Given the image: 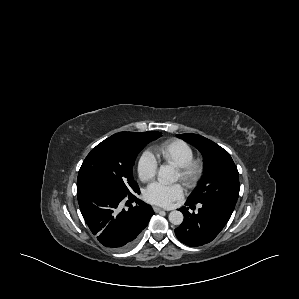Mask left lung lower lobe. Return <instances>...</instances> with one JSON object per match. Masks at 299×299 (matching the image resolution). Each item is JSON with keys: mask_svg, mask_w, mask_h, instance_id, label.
Wrapping results in <instances>:
<instances>
[{"mask_svg": "<svg viewBox=\"0 0 299 299\" xmlns=\"http://www.w3.org/2000/svg\"><path fill=\"white\" fill-rule=\"evenodd\" d=\"M185 205L193 206L186 202ZM184 221L175 229L178 240L188 246H201L211 242L224 228L232 213L214 203H202L198 213L190 214L182 207Z\"/></svg>", "mask_w": 299, "mask_h": 299, "instance_id": "0a47b994", "label": "left lung lower lobe"}]
</instances>
